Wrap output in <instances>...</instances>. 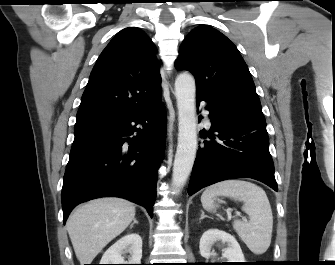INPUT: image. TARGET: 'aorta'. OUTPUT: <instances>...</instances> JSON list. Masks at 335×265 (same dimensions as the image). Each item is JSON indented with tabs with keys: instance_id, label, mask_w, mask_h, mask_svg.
<instances>
[{
	"instance_id": "aorta-1",
	"label": "aorta",
	"mask_w": 335,
	"mask_h": 265,
	"mask_svg": "<svg viewBox=\"0 0 335 265\" xmlns=\"http://www.w3.org/2000/svg\"><path fill=\"white\" fill-rule=\"evenodd\" d=\"M195 79L181 73L175 81L178 108V145L173 164L172 180L176 191L186 183L196 157L197 123L195 109Z\"/></svg>"
}]
</instances>
